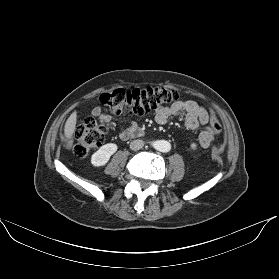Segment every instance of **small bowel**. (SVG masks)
I'll use <instances>...</instances> for the list:
<instances>
[{
	"mask_svg": "<svg viewBox=\"0 0 279 279\" xmlns=\"http://www.w3.org/2000/svg\"><path fill=\"white\" fill-rule=\"evenodd\" d=\"M94 117L98 118L100 122L105 123L110 120V117L102 113L100 106L95 107L92 111ZM180 115L185 116L186 125L190 129H197L200 126H206L209 122L208 111L192 100H179L167 107H158L155 110V120L159 124H166L171 118ZM137 128L135 123H131L126 129L121 130L118 136L121 139H126L127 131ZM214 134L209 131V126H206L204 131L199 136V144L203 148L210 146L214 139Z\"/></svg>",
	"mask_w": 279,
	"mask_h": 279,
	"instance_id": "small-bowel-1",
	"label": "small bowel"
}]
</instances>
